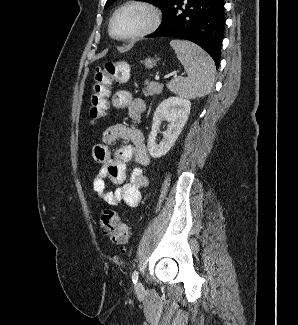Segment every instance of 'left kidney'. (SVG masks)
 Wrapping results in <instances>:
<instances>
[{"label":"left kidney","instance_id":"5707ae66","mask_svg":"<svg viewBox=\"0 0 298 325\" xmlns=\"http://www.w3.org/2000/svg\"><path fill=\"white\" fill-rule=\"evenodd\" d=\"M191 110V100L181 96H168L158 104L152 122V130L148 136V150L153 158L166 154L177 140ZM162 120H169V130L164 132V138L157 144L156 136Z\"/></svg>","mask_w":298,"mask_h":325}]
</instances>
